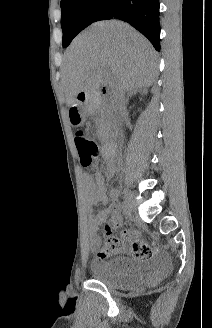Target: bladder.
<instances>
[{
  "mask_svg": "<svg viewBox=\"0 0 212 328\" xmlns=\"http://www.w3.org/2000/svg\"><path fill=\"white\" fill-rule=\"evenodd\" d=\"M92 278L111 288L131 286L142 281V263L127 262L124 258L92 260L89 265Z\"/></svg>",
  "mask_w": 212,
  "mask_h": 328,
  "instance_id": "obj_1",
  "label": "bladder"
}]
</instances>
